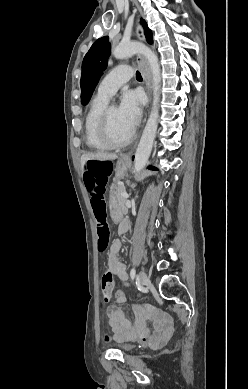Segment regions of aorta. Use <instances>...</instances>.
Returning <instances> with one entry per match:
<instances>
[{"instance_id":"762f6f07","label":"aorta","mask_w":248,"mask_h":389,"mask_svg":"<svg viewBox=\"0 0 248 389\" xmlns=\"http://www.w3.org/2000/svg\"><path fill=\"white\" fill-rule=\"evenodd\" d=\"M136 53L142 54L147 59L150 65V69L152 72L153 89L152 109L147 120L146 126L143 130L134 158V172L140 173V171L145 167L149 159L157 132L161 87V70L157 55L150 48L139 42L122 43L115 47L112 51V54L116 59H124Z\"/></svg>"}]
</instances>
